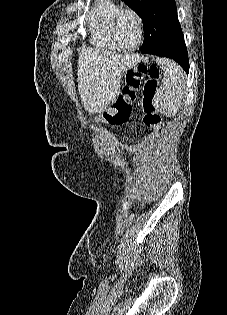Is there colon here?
<instances>
[{"mask_svg": "<svg viewBox=\"0 0 227 315\" xmlns=\"http://www.w3.org/2000/svg\"><path fill=\"white\" fill-rule=\"evenodd\" d=\"M160 72L154 65L139 64L131 68L127 75L122 95L117 98L112 107L101 115V120L110 125H118L127 121L131 113V101L136 97V91L142 81V113L144 124L159 133L164 130V124L158 114L154 100L158 91Z\"/></svg>", "mask_w": 227, "mask_h": 315, "instance_id": "5ec220e1", "label": "colon"}]
</instances>
